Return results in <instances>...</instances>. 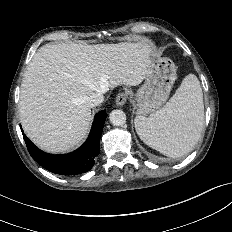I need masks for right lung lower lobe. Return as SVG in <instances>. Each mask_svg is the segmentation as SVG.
<instances>
[{
    "mask_svg": "<svg viewBox=\"0 0 232 232\" xmlns=\"http://www.w3.org/2000/svg\"><path fill=\"white\" fill-rule=\"evenodd\" d=\"M106 110L95 115L92 129L85 143L74 152L52 155L38 149L24 134L32 158L50 172L60 175H77L89 171L100 151V137L106 119ZM23 132V130H22Z\"/></svg>",
    "mask_w": 232,
    "mask_h": 232,
    "instance_id": "1",
    "label": "right lung lower lobe"
}]
</instances>
